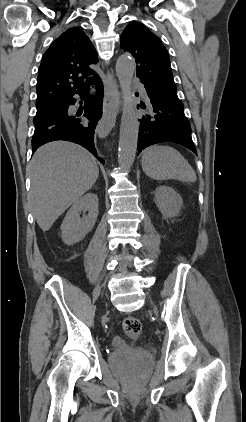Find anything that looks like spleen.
<instances>
[{"instance_id":"3e777b00","label":"spleen","mask_w":246,"mask_h":422,"mask_svg":"<svg viewBox=\"0 0 246 422\" xmlns=\"http://www.w3.org/2000/svg\"><path fill=\"white\" fill-rule=\"evenodd\" d=\"M144 173L154 180L178 179L195 182L196 173L183 155L167 145L146 148L142 156Z\"/></svg>"}]
</instances>
